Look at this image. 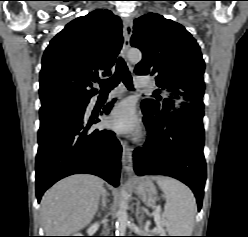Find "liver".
I'll list each match as a JSON object with an SVG mask.
<instances>
[{"mask_svg":"<svg viewBox=\"0 0 248 237\" xmlns=\"http://www.w3.org/2000/svg\"><path fill=\"white\" fill-rule=\"evenodd\" d=\"M102 190L103 181L89 174L73 175L53 185L41 200L46 236H68L90 224Z\"/></svg>","mask_w":248,"mask_h":237,"instance_id":"liver-1","label":"liver"}]
</instances>
